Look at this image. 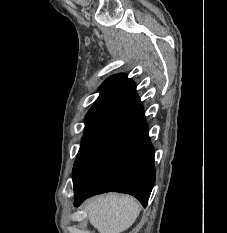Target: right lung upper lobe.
Returning a JSON list of instances; mask_svg holds the SVG:
<instances>
[{"instance_id": "right-lung-upper-lobe-1", "label": "right lung upper lobe", "mask_w": 227, "mask_h": 233, "mask_svg": "<svg viewBox=\"0 0 227 233\" xmlns=\"http://www.w3.org/2000/svg\"><path fill=\"white\" fill-rule=\"evenodd\" d=\"M99 92V98L86 115L84 134L121 137L145 122L135 83L125 74L107 78Z\"/></svg>"}]
</instances>
